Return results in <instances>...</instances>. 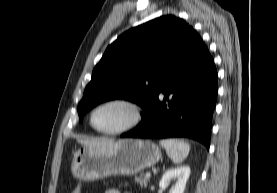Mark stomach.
Returning a JSON list of instances; mask_svg holds the SVG:
<instances>
[{
	"mask_svg": "<svg viewBox=\"0 0 277 193\" xmlns=\"http://www.w3.org/2000/svg\"><path fill=\"white\" fill-rule=\"evenodd\" d=\"M160 148L149 140L123 139L101 147L78 149L71 163L75 178L95 181L117 175H134L156 164Z\"/></svg>",
	"mask_w": 277,
	"mask_h": 193,
	"instance_id": "stomach-1",
	"label": "stomach"
}]
</instances>
